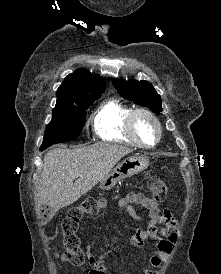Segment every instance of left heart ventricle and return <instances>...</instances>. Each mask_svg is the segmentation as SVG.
I'll use <instances>...</instances> for the list:
<instances>
[{
  "label": "left heart ventricle",
  "mask_w": 221,
  "mask_h": 274,
  "mask_svg": "<svg viewBox=\"0 0 221 274\" xmlns=\"http://www.w3.org/2000/svg\"><path fill=\"white\" fill-rule=\"evenodd\" d=\"M136 132L139 139L146 144H152L157 137L154 123L143 115L138 116L136 119Z\"/></svg>",
  "instance_id": "obj_1"
}]
</instances>
